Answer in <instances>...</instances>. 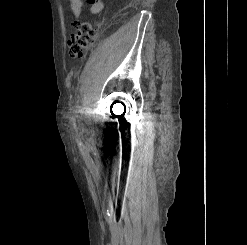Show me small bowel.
Here are the masks:
<instances>
[{"label":"small bowel","instance_id":"obj_1","mask_svg":"<svg viewBox=\"0 0 247 245\" xmlns=\"http://www.w3.org/2000/svg\"><path fill=\"white\" fill-rule=\"evenodd\" d=\"M73 15L79 19L84 11V0H69ZM90 5V12L93 15L99 14L103 10V0H86Z\"/></svg>","mask_w":247,"mask_h":245}]
</instances>
